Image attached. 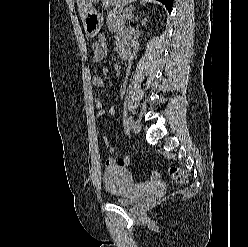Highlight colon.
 I'll use <instances>...</instances> for the list:
<instances>
[{
    "instance_id": "colon-1",
    "label": "colon",
    "mask_w": 248,
    "mask_h": 247,
    "mask_svg": "<svg viewBox=\"0 0 248 247\" xmlns=\"http://www.w3.org/2000/svg\"><path fill=\"white\" fill-rule=\"evenodd\" d=\"M169 174L175 183L183 184L187 180L186 172L183 169H181L180 167L171 166L169 168ZM150 176H151V178H157L158 173L152 172Z\"/></svg>"
}]
</instances>
